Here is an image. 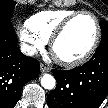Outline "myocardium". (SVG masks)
<instances>
[{
	"instance_id": "1",
	"label": "myocardium",
	"mask_w": 108,
	"mask_h": 108,
	"mask_svg": "<svg viewBox=\"0 0 108 108\" xmlns=\"http://www.w3.org/2000/svg\"><path fill=\"white\" fill-rule=\"evenodd\" d=\"M84 15L90 16L94 20L95 27H96L95 38H94L91 46L88 48V50L85 53H83L81 56L74 58V59H64V58L57 56L56 52H55V46H56L57 42L63 36V34L66 32L68 27L72 24V22L75 21L77 18L84 16ZM100 38H101V26H100V22H99V19L97 18V16L90 11H78V12L72 14L71 16H69L68 18H66L59 25V27L55 30L52 37L50 38V50H51V53L54 56L55 60L59 64L65 66V67H76V66H79V65L85 63L95 53V51L99 45Z\"/></svg>"
}]
</instances>
